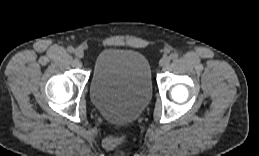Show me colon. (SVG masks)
Wrapping results in <instances>:
<instances>
[{
  "label": "colon",
  "instance_id": "5ec220e1",
  "mask_svg": "<svg viewBox=\"0 0 259 156\" xmlns=\"http://www.w3.org/2000/svg\"><path fill=\"white\" fill-rule=\"evenodd\" d=\"M126 141H127L126 135L110 136L104 140V145L107 149H115L125 144Z\"/></svg>",
  "mask_w": 259,
  "mask_h": 156
}]
</instances>
